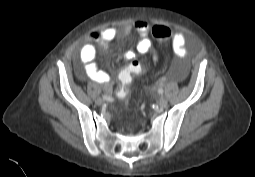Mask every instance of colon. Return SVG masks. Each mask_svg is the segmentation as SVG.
<instances>
[{"label": "colon", "instance_id": "5ec220e1", "mask_svg": "<svg viewBox=\"0 0 255 177\" xmlns=\"http://www.w3.org/2000/svg\"><path fill=\"white\" fill-rule=\"evenodd\" d=\"M152 35L158 40H166L171 36V30L163 25H155L152 28ZM144 68L145 67L141 62L133 61L120 72L118 79L121 87L117 92V96L120 99H125L129 96V85L133 76L142 73Z\"/></svg>", "mask_w": 255, "mask_h": 177}]
</instances>
